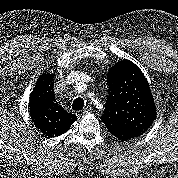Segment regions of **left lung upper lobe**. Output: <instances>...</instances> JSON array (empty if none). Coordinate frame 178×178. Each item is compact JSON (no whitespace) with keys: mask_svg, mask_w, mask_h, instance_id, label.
Returning a JSON list of instances; mask_svg holds the SVG:
<instances>
[{"mask_svg":"<svg viewBox=\"0 0 178 178\" xmlns=\"http://www.w3.org/2000/svg\"><path fill=\"white\" fill-rule=\"evenodd\" d=\"M107 82L102 122L146 132L156 118V107L141 70L129 60L120 61L110 69Z\"/></svg>","mask_w":178,"mask_h":178,"instance_id":"left-lung-upper-lobe-1","label":"left lung upper lobe"}]
</instances>
